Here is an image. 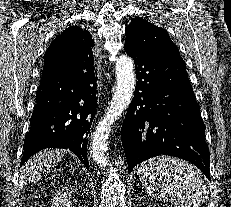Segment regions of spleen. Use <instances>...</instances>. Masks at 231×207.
Here are the masks:
<instances>
[{
	"label": "spleen",
	"mask_w": 231,
	"mask_h": 207,
	"mask_svg": "<svg viewBox=\"0 0 231 207\" xmlns=\"http://www.w3.org/2000/svg\"><path fill=\"white\" fill-rule=\"evenodd\" d=\"M138 176L150 195L167 199L176 207H198L205 199L203 181L186 161L155 157L140 165Z\"/></svg>",
	"instance_id": "1"
}]
</instances>
